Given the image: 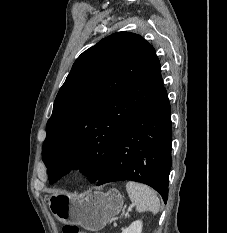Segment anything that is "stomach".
<instances>
[{
	"label": "stomach",
	"mask_w": 227,
	"mask_h": 233,
	"mask_svg": "<svg viewBox=\"0 0 227 233\" xmlns=\"http://www.w3.org/2000/svg\"><path fill=\"white\" fill-rule=\"evenodd\" d=\"M49 206L55 217L65 224H76L91 231L103 229L123 208V196L112 189L107 193L94 192L84 198L53 193Z\"/></svg>",
	"instance_id": "obj_1"
}]
</instances>
